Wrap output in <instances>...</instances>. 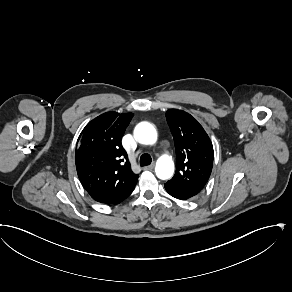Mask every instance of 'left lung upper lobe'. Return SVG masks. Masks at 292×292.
Returning <instances> with one entry per match:
<instances>
[{"instance_id":"5c2ea615","label":"left lung upper lobe","mask_w":292,"mask_h":292,"mask_svg":"<svg viewBox=\"0 0 292 292\" xmlns=\"http://www.w3.org/2000/svg\"><path fill=\"white\" fill-rule=\"evenodd\" d=\"M166 118L176 150V173L167 183L199 193L212 172L211 140L200 123L185 111L170 109Z\"/></svg>"}]
</instances>
